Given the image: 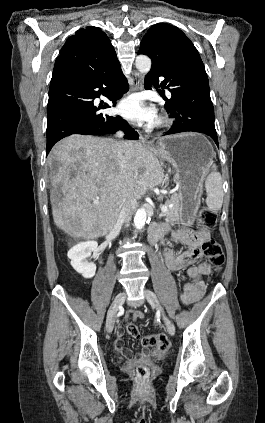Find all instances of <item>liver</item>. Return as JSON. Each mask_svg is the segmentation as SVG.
Instances as JSON below:
<instances>
[{
    "label": "liver",
    "mask_w": 265,
    "mask_h": 423,
    "mask_svg": "<svg viewBox=\"0 0 265 423\" xmlns=\"http://www.w3.org/2000/svg\"><path fill=\"white\" fill-rule=\"evenodd\" d=\"M125 143L123 162L115 141L108 138L74 134L52 148L47 158L52 214L67 235L94 239L108 234L127 191L136 200L162 183L164 174L155 155L137 141ZM94 199L98 205L91 203Z\"/></svg>",
    "instance_id": "obj_1"
}]
</instances>
